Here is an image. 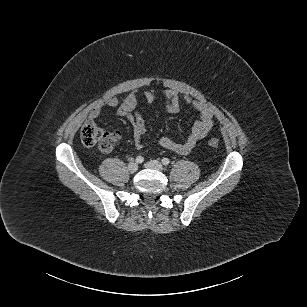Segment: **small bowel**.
Here are the masks:
<instances>
[{"label":"small bowel","mask_w":307,"mask_h":307,"mask_svg":"<svg viewBox=\"0 0 307 307\" xmlns=\"http://www.w3.org/2000/svg\"><path fill=\"white\" fill-rule=\"evenodd\" d=\"M140 95L137 91L130 92L121 101L116 97H108L99 102L91 111L89 121L96 120L103 109L117 108L116 115L119 117H126L133 128V142L135 147L140 150L143 147L142 138L147 129L144 119L141 114L136 111L137 102ZM141 97L148 104H152L155 96L150 91H145ZM165 97L167 100V110L170 113H177L180 110L181 101L183 100L187 105L191 106L199 115L198 120L193 124L187 138L183 142H176L168 137H162L159 140V145L167 150L173 151L177 154L189 153L195 145L203 139L213 127V114L210 107L201 101L193 100L189 97L183 99L174 90H166Z\"/></svg>","instance_id":"obj_1"}]
</instances>
